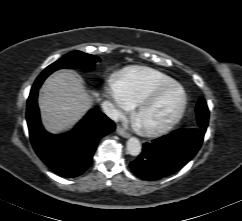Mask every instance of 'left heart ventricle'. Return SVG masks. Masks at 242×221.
I'll return each instance as SVG.
<instances>
[{"label": "left heart ventricle", "instance_id": "left-heart-ventricle-1", "mask_svg": "<svg viewBox=\"0 0 242 221\" xmlns=\"http://www.w3.org/2000/svg\"><path fill=\"white\" fill-rule=\"evenodd\" d=\"M181 103L179 90L166 92L153 106L142 112L137 117L140 127H156L166 122L178 109Z\"/></svg>", "mask_w": 242, "mask_h": 221}]
</instances>
